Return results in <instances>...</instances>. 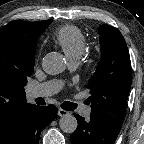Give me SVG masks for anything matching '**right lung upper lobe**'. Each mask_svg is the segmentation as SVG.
I'll list each match as a JSON object with an SVG mask.
<instances>
[{
    "label": "right lung upper lobe",
    "mask_w": 144,
    "mask_h": 144,
    "mask_svg": "<svg viewBox=\"0 0 144 144\" xmlns=\"http://www.w3.org/2000/svg\"><path fill=\"white\" fill-rule=\"evenodd\" d=\"M47 21H12L0 29V139L32 104L25 99L27 73L34 68L35 46Z\"/></svg>",
    "instance_id": "1"
}]
</instances>
